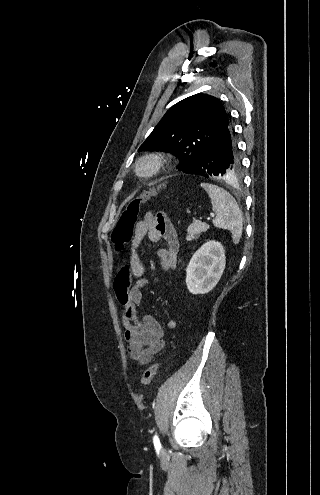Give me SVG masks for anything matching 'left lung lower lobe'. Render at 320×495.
<instances>
[{
  "mask_svg": "<svg viewBox=\"0 0 320 495\" xmlns=\"http://www.w3.org/2000/svg\"><path fill=\"white\" fill-rule=\"evenodd\" d=\"M240 158L230 123L201 151L194 164L182 172L203 177L229 178L238 173Z\"/></svg>",
  "mask_w": 320,
  "mask_h": 495,
  "instance_id": "left-lung-lower-lobe-1",
  "label": "left lung lower lobe"
}]
</instances>
